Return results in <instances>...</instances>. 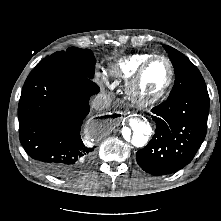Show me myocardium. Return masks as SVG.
<instances>
[{
  "instance_id": "obj_1",
  "label": "myocardium",
  "mask_w": 221,
  "mask_h": 221,
  "mask_svg": "<svg viewBox=\"0 0 221 221\" xmlns=\"http://www.w3.org/2000/svg\"><path fill=\"white\" fill-rule=\"evenodd\" d=\"M164 60L169 68V77L168 80L163 87L161 91L158 93L151 95V96H145L139 91V85L141 82V79L147 70V68L155 61V60ZM175 79V70L172 61L164 56V55H153L146 59L137 69L135 74L131 77V79L128 81L126 86V92L130 98V100L138 105V106H151L154 105L161 100H163L171 91Z\"/></svg>"
}]
</instances>
